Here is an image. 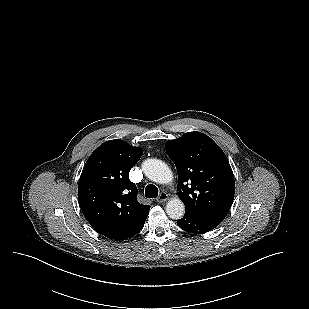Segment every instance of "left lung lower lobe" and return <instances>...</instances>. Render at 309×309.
Wrapping results in <instances>:
<instances>
[{"label":"left lung lower lobe","mask_w":309,"mask_h":309,"mask_svg":"<svg viewBox=\"0 0 309 309\" xmlns=\"http://www.w3.org/2000/svg\"><path fill=\"white\" fill-rule=\"evenodd\" d=\"M177 224L181 229L194 234H203L218 226L203 218L188 214H185L182 219L178 220Z\"/></svg>","instance_id":"0a47b994"}]
</instances>
